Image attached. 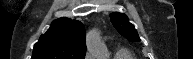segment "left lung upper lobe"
I'll list each match as a JSON object with an SVG mask.
<instances>
[{"mask_svg": "<svg viewBox=\"0 0 193 59\" xmlns=\"http://www.w3.org/2000/svg\"><path fill=\"white\" fill-rule=\"evenodd\" d=\"M110 20L116 30L127 40L131 42L140 40L137 30L134 25L129 22L128 17L125 14L119 12L111 13Z\"/></svg>", "mask_w": 193, "mask_h": 59, "instance_id": "1", "label": "left lung upper lobe"}]
</instances>
